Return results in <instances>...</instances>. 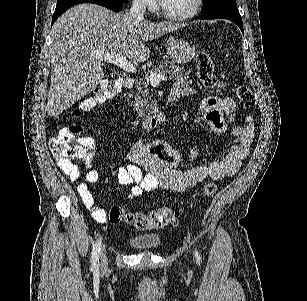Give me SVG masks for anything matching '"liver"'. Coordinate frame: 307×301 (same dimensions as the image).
Masks as SVG:
<instances>
[{"label": "liver", "instance_id": "6515ba94", "mask_svg": "<svg viewBox=\"0 0 307 301\" xmlns=\"http://www.w3.org/2000/svg\"><path fill=\"white\" fill-rule=\"evenodd\" d=\"M185 24L138 20L124 12L83 2L57 18L51 28V82L46 110L58 116L93 90L105 72L103 58L95 54H122L132 62H144L153 40Z\"/></svg>", "mask_w": 307, "mask_h": 301}]
</instances>
